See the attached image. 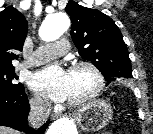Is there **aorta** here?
<instances>
[{
	"label": "aorta",
	"mask_w": 153,
	"mask_h": 134,
	"mask_svg": "<svg viewBox=\"0 0 153 134\" xmlns=\"http://www.w3.org/2000/svg\"><path fill=\"white\" fill-rule=\"evenodd\" d=\"M70 20L65 13L56 12L49 15L42 23L39 35L45 41L58 39L68 30ZM47 134H78L76 125L68 118L55 121L48 129Z\"/></svg>",
	"instance_id": "762f6f07"
}]
</instances>
